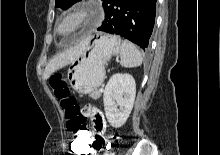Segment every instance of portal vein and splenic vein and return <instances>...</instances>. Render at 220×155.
Returning a JSON list of instances; mask_svg holds the SVG:
<instances>
[{
    "label": "portal vein and splenic vein",
    "instance_id": "obj_1",
    "mask_svg": "<svg viewBox=\"0 0 220 155\" xmlns=\"http://www.w3.org/2000/svg\"><path fill=\"white\" fill-rule=\"evenodd\" d=\"M99 91H100V92H103V88H100Z\"/></svg>",
    "mask_w": 220,
    "mask_h": 155
}]
</instances>
